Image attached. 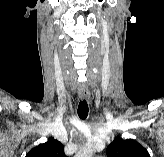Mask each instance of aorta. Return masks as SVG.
<instances>
[{
	"label": "aorta",
	"instance_id": "obj_1",
	"mask_svg": "<svg viewBox=\"0 0 164 157\" xmlns=\"http://www.w3.org/2000/svg\"><path fill=\"white\" fill-rule=\"evenodd\" d=\"M93 147L87 146L76 154V157H92Z\"/></svg>",
	"mask_w": 164,
	"mask_h": 157
}]
</instances>
